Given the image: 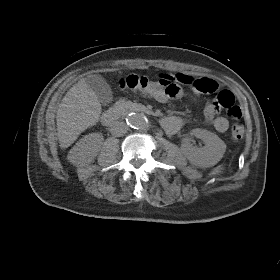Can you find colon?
Segmentation results:
<instances>
[{
    "mask_svg": "<svg viewBox=\"0 0 280 280\" xmlns=\"http://www.w3.org/2000/svg\"><path fill=\"white\" fill-rule=\"evenodd\" d=\"M120 87L132 91H139L160 100L177 99L183 95L181 83L176 75L161 74L157 79H149L139 75H129L120 80ZM203 93H214L217 90L215 83L208 82L203 88H199ZM220 111L232 120H238L241 109L235 103L234 95L228 91H220L212 103V113L216 115ZM244 126L237 122L231 130V137L238 141L244 136Z\"/></svg>",
    "mask_w": 280,
    "mask_h": 280,
    "instance_id": "colon-1",
    "label": "colon"
}]
</instances>
